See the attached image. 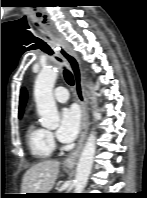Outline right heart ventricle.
<instances>
[{"instance_id":"right-heart-ventricle-1","label":"right heart ventricle","mask_w":147,"mask_h":198,"mask_svg":"<svg viewBox=\"0 0 147 198\" xmlns=\"http://www.w3.org/2000/svg\"><path fill=\"white\" fill-rule=\"evenodd\" d=\"M26 138L30 152L36 159L44 160L52 155L53 145L49 139V132L45 128L30 123Z\"/></svg>"}]
</instances>
